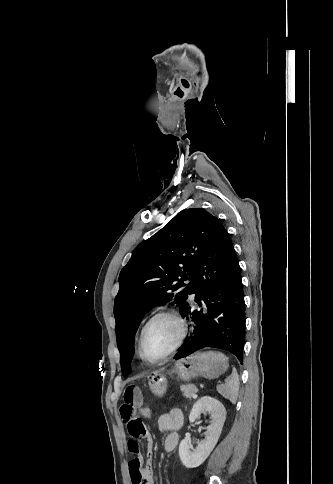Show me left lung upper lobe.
<instances>
[{
	"label": "left lung upper lobe",
	"instance_id": "obj_1",
	"mask_svg": "<svg viewBox=\"0 0 333 484\" xmlns=\"http://www.w3.org/2000/svg\"><path fill=\"white\" fill-rule=\"evenodd\" d=\"M202 208L180 211L133 251L119 275L114 301L116 338L122 374L127 376L134 337L143 316L155 305L181 306L192 294L189 280L194 260L215 219Z\"/></svg>",
	"mask_w": 333,
	"mask_h": 484
}]
</instances>
